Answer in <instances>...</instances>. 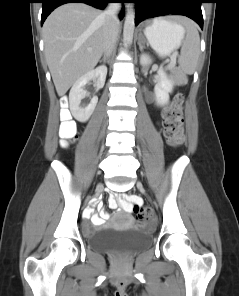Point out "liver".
I'll list each match as a JSON object with an SVG mask.
<instances>
[{
    "label": "liver",
    "mask_w": 239,
    "mask_h": 296,
    "mask_svg": "<svg viewBox=\"0 0 239 296\" xmlns=\"http://www.w3.org/2000/svg\"><path fill=\"white\" fill-rule=\"evenodd\" d=\"M103 12L84 3L55 9L43 25L46 61L59 96L100 60L104 47Z\"/></svg>",
    "instance_id": "6515ba94"
}]
</instances>
